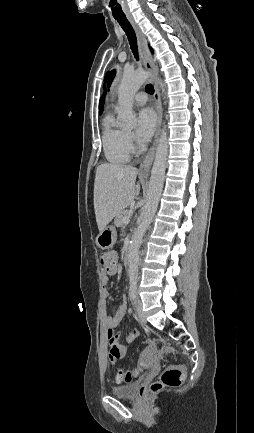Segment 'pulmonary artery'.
<instances>
[{
  "label": "pulmonary artery",
  "instance_id": "obj_1",
  "mask_svg": "<svg viewBox=\"0 0 254 433\" xmlns=\"http://www.w3.org/2000/svg\"><path fill=\"white\" fill-rule=\"evenodd\" d=\"M148 100V96L145 92H138L134 96V101L137 105H144Z\"/></svg>",
  "mask_w": 254,
  "mask_h": 433
}]
</instances>
